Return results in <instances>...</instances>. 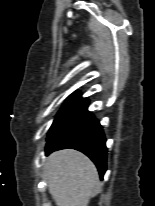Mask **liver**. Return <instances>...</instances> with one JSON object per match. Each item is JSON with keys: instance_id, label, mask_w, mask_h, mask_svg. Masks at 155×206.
Listing matches in <instances>:
<instances>
[{"instance_id": "1", "label": "liver", "mask_w": 155, "mask_h": 206, "mask_svg": "<svg viewBox=\"0 0 155 206\" xmlns=\"http://www.w3.org/2000/svg\"><path fill=\"white\" fill-rule=\"evenodd\" d=\"M45 168L56 206H88L99 175L87 156L73 149L57 151L47 158Z\"/></svg>"}]
</instances>
